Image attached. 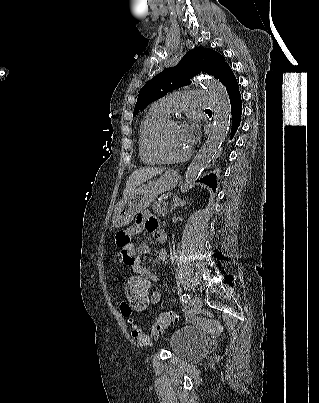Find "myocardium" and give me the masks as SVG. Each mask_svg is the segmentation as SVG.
<instances>
[{"mask_svg": "<svg viewBox=\"0 0 319 403\" xmlns=\"http://www.w3.org/2000/svg\"><path fill=\"white\" fill-rule=\"evenodd\" d=\"M173 125H180V121L177 118H167L155 131L152 147L154 153L159 157L163 162L167 163H181L188 160L192 155V150L189 149L184 155L180 157H173L166 153L163 145V138L166 131Z\"/></svg>", "mask_w": 319, "mask_h": 403, "instance_id": "f54148a6", "label": "myocardium"}]
</instances>
